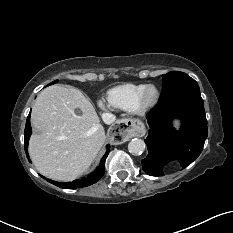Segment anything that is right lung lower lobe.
<instances>
[{"label": "right lung lower lobe", "instance_id": "98d812e1", "mask_svg": "<svg viewBox=\"0 0 233 233\" xmlns=\"http://www.w3.org/2000/svg\"><path fill=\"white\" fill-rule=\"evenodd\" d=\"M30 113L27 117L25 132H24V147H25L26 156L28 159H29V155H28V151H27L28 141H29L30 135L32 133L31 125H30ZM109 149H110V145H107V151H106V154L101 159L100 166L95 170L94 173L89 175L88 178H84L82 180H75L73 182H66V183L56 182V181H52L50 179H46V180H48V182H50V183H52L60 188L75 189V188H79V187H85V186L92 185V184L96 183L104 174L105 160H106V157L108 156Z\"/></svg>", "mask_w": 233, "mask_h": 233}]
</instances>
